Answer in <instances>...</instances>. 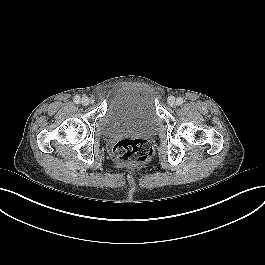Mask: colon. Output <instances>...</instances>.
Returning <instances> with one entry per match:
<instances>
[{
	"instance_id": "1",
	"label": "colon",
	"mask_w": 265,
	"mask_h": 265,
	"mask_svg": "<svg viewBox=\"0 0 265 265\" xmlns=\"http://www.w3.org/2000/svg\"><path fill=\"white\" fill-rule=\"evenodd\" d=\"M113 154L121 163L141 164L152 158L154 149L151 142L147 139L125 138L115 143Z\"/></svg>"
}]
</instances>
